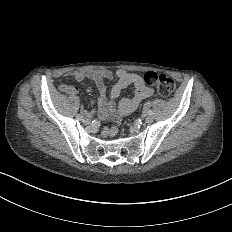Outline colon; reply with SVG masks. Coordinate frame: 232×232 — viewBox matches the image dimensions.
<instances>
[{"label":"colon","instance_id":"5ec220e1","mask_svg":"<svg viewBox=\"0 0 232 232\" xmlns=\"http://www.w3.org/2000/svg\"><path fill=\"white\" fill-rule=\"evenodd\" d=\"M155 91H160V98H173V87L175 81H152Z\"/></svg>","mask_w":232,"mask_h":232}]
</instances>
